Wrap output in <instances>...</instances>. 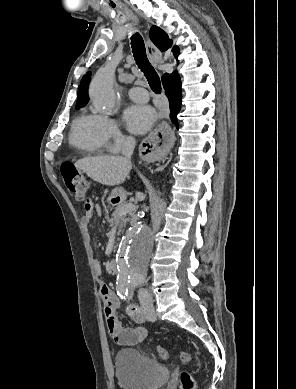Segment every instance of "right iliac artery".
<instances>
[{
	"label": "right iliac artery",
	"mask_w": 296,
	"mask_h": 389,
	"mask_svg": "<svg viewBox=\"0 0 296 389\" xmlns=\"http://www.w3.org/2000/svg\"><path fill=\"white\" fill-rule=\"evenodd\" d=\"M118 294L122 299H126L128 296V289L125 287H121L118 289Z\"/></svg>",
	"instance_id": "right-iliac-artery-1"
}]
</instances>
